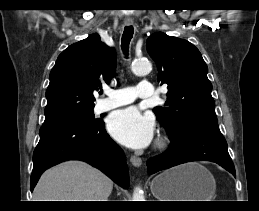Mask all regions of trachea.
<instances>
[{"label": "trachea", "instance_id": "obj_1", "mask_svg": "<svg viewBox=\"0 0 259 211\" xmlns=\"http://www.w3.org/2000/svg\"><path fill=\"white\" fill-rule=\"evenodd\" d=\"M134 29L132 26H126L121 39V48L125 55H128L130 41L133 37Z\"/></svg>", "mask_w": 259, "mask_h": 211}]
</instances>
